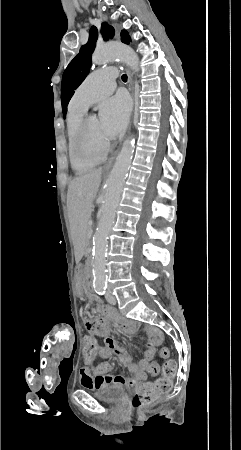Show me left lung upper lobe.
Instances as JSON below:
<instances>
[{
	"label": "left lung upper lobe",
	"mask_w": 241,
	"mask_h": 450,
	"mask_svg": "<svg viewBox=\"0 0 241 450\" xmlns=\"http://www.w3.org/2000/svg\"><path fill=\"white\" fill-rule=\"evenodd\" d=\"M101 33L105 40L114 36V29L107 23L102 24ZM121 41L129 44L130 37L127 31L123 30L120 34ZM98 39V30L95 26L91 27L89 31V40L87 44L83 45L80 52L69 63L63 73L61 84V103L63 116H66L67 105L74 94V91L84 81L85 77L89 73L91 67V56L95 49Z\"/></svg>",
	"instance_id": "5c2ea615"
}]
</instances>
